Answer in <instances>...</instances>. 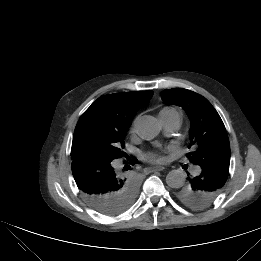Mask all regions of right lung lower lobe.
Wrapping results in <instances>:
<instances>
[{
    "label": "right lung lower lobe",
    "instance_id": "1",
    "mask_svg": "<svg viewBox=\"0 0 261 261\" xmlns=\"http://www.w3.org/2000/svg\"><path fill=\"white\" fill-rule=\"evenodd\" d=\"M113 164L98 157L72 156V173L81 194L93 209L105 215L119 214L130 206L124 202L123 191L129 178Z\"/></svg>",
    "mask_w": 261,
    "mask_h": 261
}]
</instances>
